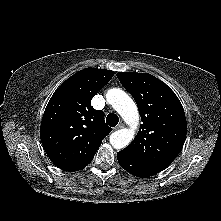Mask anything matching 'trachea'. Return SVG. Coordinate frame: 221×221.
Instances as JSON below:
<instances>
[{"mask_svg": "<svg viewBox=\"0 0 221 221\" xmlns=\"http://www.w3.org/2000/svg\"><path fill=\"white\" fill-rule=\"evenodd\" d=\"M119 122V118L116 114L110 113L106 117V123L110 127H115Z\"/></svg>", "mask_w": 221, "mask_h": 221, "instance_id": "3493384b", "label": "trachea"}]
</instances>
